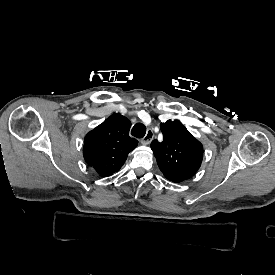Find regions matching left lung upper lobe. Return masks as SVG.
<instances>
[{
    "label": "left lung upper lobe",
    "mask_w": 275,
    "mask_h": 275,
    "mask_svg": "<svg viewBox=\"0 0 275 275\" xmlns=\"http://www.w3.org/2000/svg\"><path fill=\"white\" fill-rule=\"evenodd\" d=\"M163 141H152L151 149L164 176L172 182L191 178L200 168L203 146L178 121L160 124Z\"/></svg>",
    "instance_id": "1"
}]
</instances>
